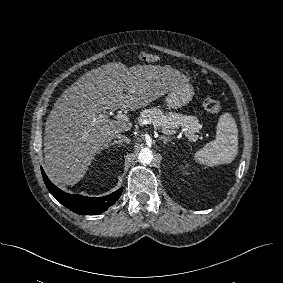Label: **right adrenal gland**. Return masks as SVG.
Returning a JSON list of instances; mask_svg holds the SVG:
<instances>
[{"mask_svg":"<svg viewBox=\"0 0 283 283\" xmlns=\"http://www.w3.org/2000/svg\"><path fill=\"white\" fill-rule=\"evenodd\" d=\"M122 142L120 141V140H116V141H113L112 143H110L109 145L110 146H113V145H115V144H118V145H120Z\"/></svg>","mask_w":283,"mask_h":283,"instance_id":"right-adrenal-gland-1","label":"right adrenal gland"}]
</instances>
